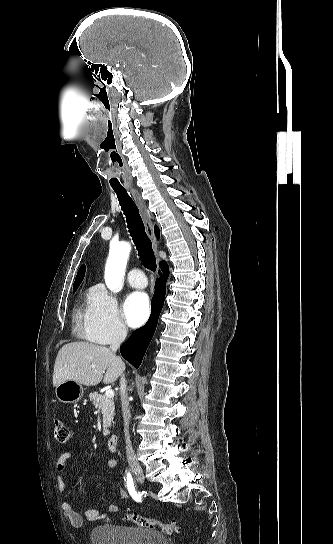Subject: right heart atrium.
I'll list each match as a JSON object with an SVG mask.
<instances>
[{
	"mask_svg": "<svg viewBox=\"0 0 333 544\" xmlns=\"http://www.w3.org/2000/svg\"><path fill=\"white\" fill-rule=\"evenodd\" d=\"M80 327L88 340L101 345L121 342L128 332L117 298L100 287L91 291Z\"/></svg>",
	"mask_w": 333,
	"mask_h": 544,
	"instance_id": "right-heart-atrium-1",
	"label": "right heart atrium"
}]
</instances>
